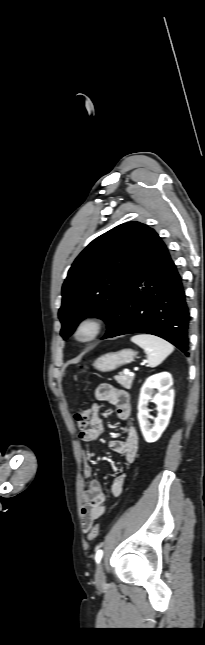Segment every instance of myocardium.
<instances>
[{"label": "myocardium", "mask_w": 205, "mask_h": 645, "mask_svg": "<svg viewBox=\"0 0 205 645\" xmlns=\"http://www.w3.org/2000/svg\"><path fill=\"white\" fill-rule=\"evenodd\" d=\"M103 329L102 321L94 316L83 318L74 330V337L82 343H89L95 340Z\"/></svg>", "instance_id": "1"}]
</instances>
